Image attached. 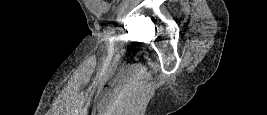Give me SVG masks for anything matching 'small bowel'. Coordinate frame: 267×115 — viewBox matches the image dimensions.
Returning <instances> with one entry per match:
<instances>
[{"label": "small bowel", "instance_id": "c3829d8e", "mask_svg": "<svg viewBox=\"0 0 267 115\" xmlns=\"http://www.w3.org/2000/svg\"><path fill=\"white\" fill-rule=\"evenodd\" d=\"M86 4L95 12H104L107 8V4L98 0H85Z\"/></svg>", "mask_w": 267, "mask_h": 115}]
</instances>
